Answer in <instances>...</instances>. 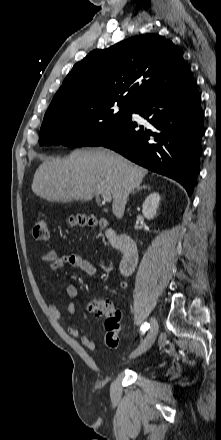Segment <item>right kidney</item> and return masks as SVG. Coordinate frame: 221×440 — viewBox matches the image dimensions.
Segmentation results:
<instances>
[{
  "mask_svg": "<svg viewBox=\"0 0 221 440\" xmlns=\"http://www.w3.org/2000/svg\"><path fill=\"white\" fill-rule=\"evenodd\" d=\"M159 202L160 195L158 193L154 192L146 197L142 206V212L145 218L151 220L156 216Z\"/></svg>",
  "mask_w": 221,
  "mask_h": 440,
  "instance_id": "obj_1",
  "label": "right kidney"
}]
</instances>
